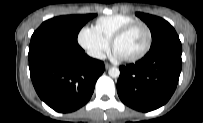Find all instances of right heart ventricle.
<instances>
[{"label": "right heart ventricle", "mask_w": 203, "mask_h": 123, "mask_svg": "<svg viewBox=\"0 0 203 123\" xmlns=\"http://www.w3.org/2000/svg\"><path fill=\"white\" fill-rule=\"evenodd\" d=\"M136 21L135 17L127 14L108 15L97 19L95 29L107 41H111L116 32Z\"/></svg>", "instance_id": "obj_1"}]
</instances>
